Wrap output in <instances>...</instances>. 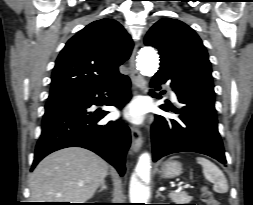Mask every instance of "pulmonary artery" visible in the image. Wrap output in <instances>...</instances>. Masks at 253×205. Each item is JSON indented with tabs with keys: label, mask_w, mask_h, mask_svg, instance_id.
Listing matches in <instances>:
<instances>
[{
	"label": "pulmonary artery",
	"mask_w": 253,
	"mask_h": 205,
	"mask_svg": "<svg viewBox=\"0 0 253 205\" xmlns=\"http://www.w3.org/2000/svg\"><path fill=\"white\" fill-rule=\"evenodd\" d=\"M171 98H172V100H174V101L177 100V96H176V94H175L174 91H171Z\"/></svg>",
	"instance_id": "e3ab8cb5"
}]
</instances>
